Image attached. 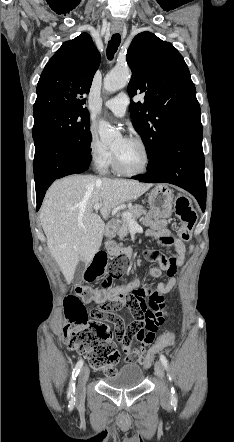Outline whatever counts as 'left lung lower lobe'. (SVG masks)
Masks as SVG:
<instances>
[{
  "instance_id": "0a47b994",
  "label": "left lung lower lobe",
  "mask_w": 234,
  "mask_h": 442,
  "mask_svg": "<svg viewBox=\"0 0 234 442\" xmlns=\"http://www.w3.org/2000/svg\"><path fill=\"white\" fill-rule=\"evenodd\" d=\"M201 122L187 125L166 140L155 163L147 174L133 177L142 182H167L189 191L202 210L206 204L204 154Z\"/></svg>"
}]
</instances>
